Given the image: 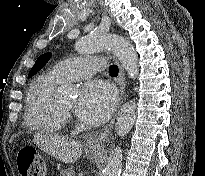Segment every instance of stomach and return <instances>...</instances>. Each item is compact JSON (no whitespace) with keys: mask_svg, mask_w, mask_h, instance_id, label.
Instances as JSON below:
<instances>
[{"mask_svg":"<svg viewBox=\"0 0 205 176\" xmlns=\"http://www.w3.org/2000/svg\"><path fill=\"white\" fill-rule=\"evenodd\" d=\"M98 150L99 148H93L91 152H97ZM61 176H74V172L72 170L63 171L61 172Z\"/></svg>","mask_w":205,"mask_h":176,"instance_id":"obj_1","label":"stomach"}]
</instances>
